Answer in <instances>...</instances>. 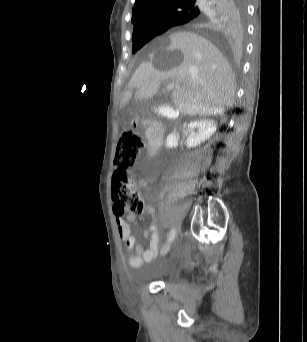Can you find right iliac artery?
Wrapping results in <instances>:
<instances>
[{"mask_svg": "<svg viewBox=\"0 0 307 342\" xmlns=\"http://www.w3.org/2000/svg\"><path fill=\"white\" fill-rule=\"evenodd\" d=\"M175 236H176V231L174 228H172L169 233L168 242L173 241L175 239Z\"/></svg>", "mask_w": 307, "mask_h": 342, "instance_id": "right-iliac-artery-1", "label": "right iliac artery"}]
</instances>
